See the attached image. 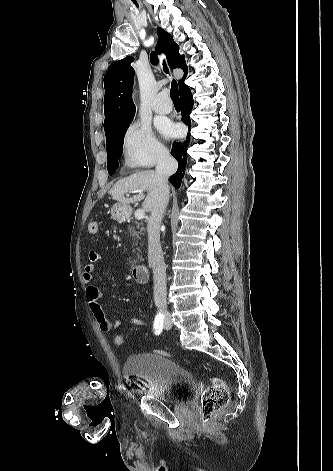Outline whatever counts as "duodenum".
Wrapping results in <instances>:
<instances>
[{"mask_svg":"<svg viewBox=\"0 0 333 471\" xmlns=\"http://www.w3.org/2000/svg\"><path fill=\"white\" fill-rule=\"evenodd\" d=\"M132 276L138 283H146L149 278V270L146 265H136L132 269Z\"/></svg>","mask_w":333,"mask_h":471,"instance_id":"obj_1","label":"duodenum"}]
</instances>
